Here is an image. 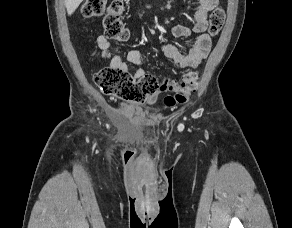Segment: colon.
<instances>
[{
	"mask_svg": "<svg viewBox=\"0 0 292 228\" xmlns=\"http://www.w3.org/2000/svg\"><path fill=\"white\" fill-rule=\"evenodd\" d=\"M124 4L122 0H112L108 5L107 0H86L82 13L85 17L103 16V29L106 37L119 42L127 41L130 32L122 20ZM209 33L215 36L222 29L225 21V11L221 7L215 8L210 15ZM97 87L106 95L120 98L132 103H142L146 99L166 89L161 86L158 79L151 74H146L140 79H135L127 71L112 67H105L98 71L94 77ZM198 87L196 72L188 71L179 83H174L168 89L172 94L164 98L166 107H174L187 102L189 96Z\"/></svg>",
	"mask_w": 292,
	"mask_h": 228,
	"instance_id": "colon-1",
	"label": "colon"
}]
</instances>
